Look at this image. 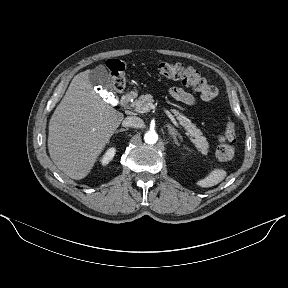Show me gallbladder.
Here are the masks:
<instances>
[{"mask_svg": "<svg viewBox=\"0 0 288 288\" xmlns=\"http://www.w3.org/2000/svg\"><path fill=\"white\" fill-rule=\"evenodd\" d=\"M89 80L92 85H101L106 90H112L110 74L105 65H98L89 72Z\"/></svg>", "mask_w": 288, "mask_h": 288, "instance_id": "gallbladder-1", "label": "gallbladder"}]
</instances>
